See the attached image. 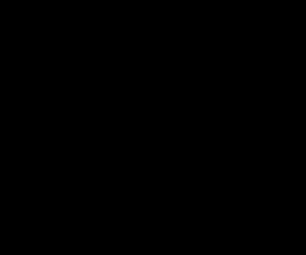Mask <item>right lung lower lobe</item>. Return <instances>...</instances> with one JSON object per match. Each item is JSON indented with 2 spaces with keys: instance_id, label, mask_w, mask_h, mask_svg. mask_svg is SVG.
Segmentation results:
<instances>
[{
  "instance_id": "1",
  "label": "right lung lower lobe",
  "mask_w": 306,
  "mask_h": 255,
  "mask_svg": "<svg viewBox=\"0 0 306 255\" xmlns=\"http://www.w3.org/2000/svg\"><path fill=\"white\" fill-rule=\"evenodd\" d=\"M125 191V183L120 176H114L105 190L98 196L100 199L110 200L120 197Z\"/></svg>"
}]
</instances>
